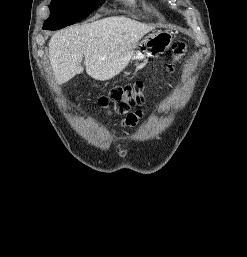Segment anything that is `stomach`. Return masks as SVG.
Wrapping results in <instances>:
<instances>
[{"label":"stomach","instance_id":"1","mask_svg":"<svg viewBox=\"0 0 247 257\" xmlns=\"http://www.w3.org/2000/svg\"><path fill=\"white\" fill-rule=\"evenodd\" d=\"M173 36L169 32H157L146 36L136 47L131 61H141L146 57L163 54L172 44Z\"/></svg>","mask_w":247,"mask_h":257}]
</instances>
